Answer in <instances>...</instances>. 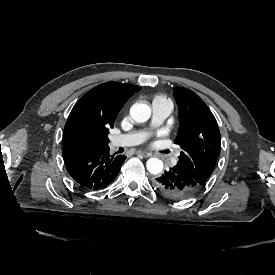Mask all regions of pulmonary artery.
<instances>
[{"label": "pulmonary artery", "mask_w": 275, "mask_h": 275, "mask_svg": "<svg viewBox=\"0 0 275 275\" xmlns=\"http://www.w3.org/2000/svg\"><path fill=\"white\" fill-rule=\"evenodd\" d=\"M152 109L154 111V120L151 121L150 126L154 123H158L161 126L163 120L167 119L168 114L171 110V103L168 99L164 97H157L152 102ZM149 129H146L148 131ZM140 133L132 132L127 134H121L117 137H114L110 141V147L112 149L120 147L135 146L142 141ZM146 140H149L146 138ZM169 165L171 167H176L178 165L179 158L177 154L172 153L169 156Z\"/></svg>", "instance_id": "obj_1"}]
</instances>
